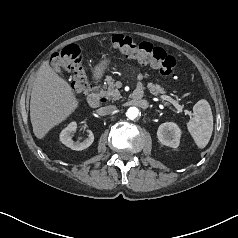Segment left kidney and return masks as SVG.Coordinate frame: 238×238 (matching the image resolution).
<instances>
[{"label":"left kidney","mask_w":238,"mask_h":238,"mask_svg":"<svg viewBox=\"0 0 238 238\" xmlns=\"http://www.w3.org/2000/svg\"><path fill=\"white\" fill-rule=\"evenodd\" d=\"M157 136L163 145L177 148L180 143L181 130L177 124L166 122L159 126Z\"/></svg>","instance_id":"obj_1"}]
</instances>
